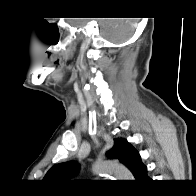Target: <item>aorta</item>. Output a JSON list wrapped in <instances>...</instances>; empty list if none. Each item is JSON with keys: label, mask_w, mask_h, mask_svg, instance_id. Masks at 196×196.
Returning a JSON list of instances; mask_svg holds the SVG:
<instances>
[{"label": "aorta", "mask_w": 196, "mask_h": 196, "mask_svg": "<svg viewBox=\"0 0 196 196\" xmlns=\"http://www.w3.org/2000/svg\"><path fill=\"white\" fill-rule=\"evenodd\" d=\"M93 170L96 173L109 174L116 180H133L132 173L122 164L112 160L97 161Z\"/></svg>", "instance_id": "762f6f07"}]
</instances>
